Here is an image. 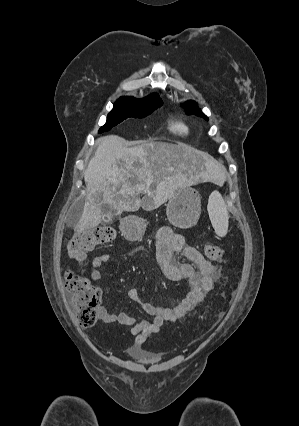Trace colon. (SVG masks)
<instances>
[{
  "mask_svg": "<svg viewBox=\"0 0 299 426\" xmlns=\"http://www.w3.org/2000/svg\"><path fill=\"white\" fill-rule=\"evenodd\" d=\"M114 238L115 231L108 226L78 231L69 240L68 255L74 261L84 262L88 252ZM204 254L209 260L219 262L224 250L215 242H206ZM65 288L79 324L84 328L93 326L102 301L100 290L91 285L88 279L73 272L67 273Z\"/></svg>",
  "mask_w": 299,
  "mask_h": 426,
  "instance_id": "5ec220e1",
  "label": "colon"
}]
</instances>
